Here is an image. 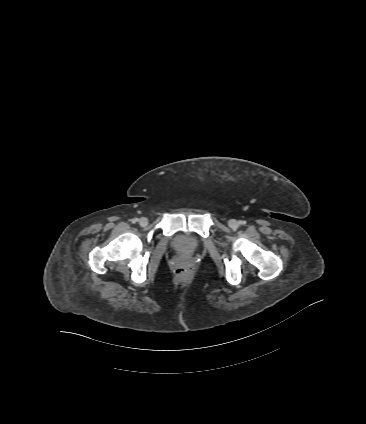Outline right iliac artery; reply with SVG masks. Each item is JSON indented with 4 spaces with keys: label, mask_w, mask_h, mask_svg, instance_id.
I'll return each mask as SVG.
<instances>
[{
    "label": "right iliac artery",
    "mask_w": 366,
    "mask_h": 424,
    "mask_svg": "<svg viewBox=\"0 0 366 424\" xmlns=\"http://www.w3.org/2000/svg\"><path fill=\"white\" fill-rule=\"evenodd\" d=\"M137 221H138L137 218H135V219L132 220L133 223H136Z\"/></svg>",
    "instance_id": "obj_1"
}]
</instances>
